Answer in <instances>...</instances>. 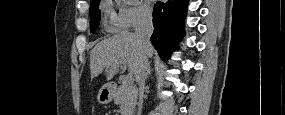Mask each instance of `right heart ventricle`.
<instances>
[{
  "label": "right heart ventricle",
  "mask_w": 285,
  "mask_h": 115,
  "mask_svg": "<svg viewBox=\"0 0 285 115\" xmlns=\"http://www.w3.org/2000/svg\"><path fill=\"white\" fill-rule=\"evenodd\" d=\"M104 11H105L104 25L106 29L112 31L121 28L120 19L112 9L110 4H106L104 6Z\"/></svg>",
  "instance_id": "right-heart-ventricle-1"
}]
</instances>
